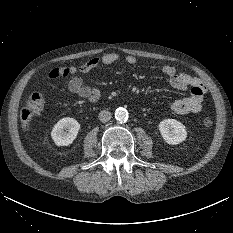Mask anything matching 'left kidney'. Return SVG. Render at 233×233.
I'll list each match as a JSON object with an SVG mask.
<instances>
[{
    "label": "left kidney",
    "mask_w": 233,
    "mask_h": 233,
    "mask_svg": "<svg viewBox=\"0 0 233 233\" xmlns=\"http://www.w3.org/2000/svg\"><path fill=\"white\" fill-rule=\"evenodd\" d=\"M159 130L166 143L176 145L187 137L185 125L175 119H164L159 123Z\"/></svg>",
    "instance_id": "left-kidney-1"
}]
</instances>
